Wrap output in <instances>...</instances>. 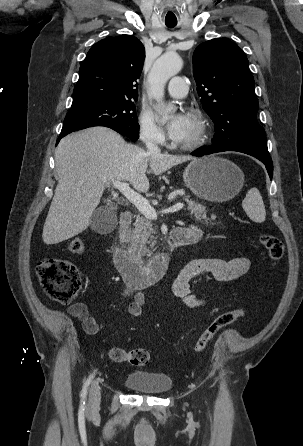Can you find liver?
Instances as JSON below:
<instances>
[{"mask_svg": "<svg viewBox=\"0 0 303 446\" xmlns=\"http://www.w3.org/2000/svg\"><path fill=\"white\" fill-rule=\"evenodd\" d=\"M193 159L149 154L106 127L67 135L55 150L58 184L43 228L44 243L57 244L86 230L109 183L127 181L135 190L147 192L148 167L160 175Z\"/></svg>", "mask_w": 303, "mask_h": 446, "instance_id": "obj_1", "label": "liver"}]
</instances>
